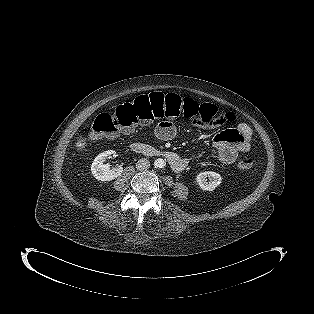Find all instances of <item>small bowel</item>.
I'll return each mask as SVG.
<instances>
[{
  "mask_svg": "<svg viewBox=\"0 0 314 314\" xmlns=\"http://www.w3.org/2000/svg\"><path fill=\"white\" fill-rule=\"evenodd\" d=\"M235 122L234 114L227 112L217 115L211 121L197 120V125L202 128L226 127ZM177 128L171 120H163L155 127V135L160 140H170L175 137ZM252 131L244 123L236 127L225 128L213 140V147L218 159L227 165L234 163L236 158L246 153L251 148Z\"/></svg>",
  "mask_w": 314,
  "mask_h": 314,
  "instance_id": "obj_1",
  "label": "small bowel"
}]
</instances>
